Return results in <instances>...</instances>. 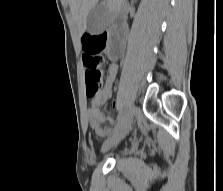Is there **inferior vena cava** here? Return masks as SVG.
I'll use <instances>...</instances> for the list:
<instances>
[{
	"mask_svg": "<svg viewBox=\"0 0 223 191\" xmlns=\"http://www.w3.org/2000/svg\"><path fill=\"white\" fill-rule=\"evenodd\" d=\"M127 8H128V4H127L126 0H124L122 3V11L124 14L126 13Z\"/></svg>",
	"mask_w": 223,
	"mask_h": 191,
	"instance_id": "1",
	"label": "inferior vena cava"
}]
</instances>
